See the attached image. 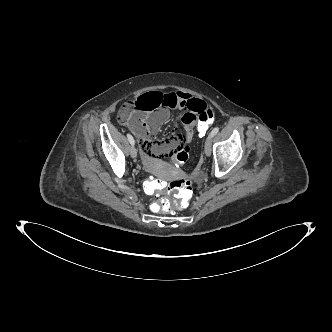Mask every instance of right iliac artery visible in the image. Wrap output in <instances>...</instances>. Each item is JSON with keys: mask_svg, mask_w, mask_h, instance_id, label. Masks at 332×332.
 Returning <instances> with one entry per match:
<instances>
[{"mask_svg": "<svg viewBox=\"0 0 332 332\" xmlns=\"http://www.w3.org/2000/svg\"><path fill=\"white\" fill-rule=\"evenodd\" d=\"M127 138L131 145L135 144V140L131 134H127Z\"/></svg>", "mask_w": 332, "mask_h": 332, "instance_id": "82829eb1", "label": "right iliac artery"}]
</instances>
